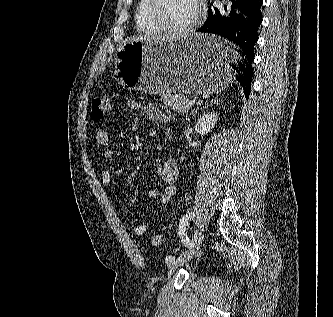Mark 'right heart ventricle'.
<instances>
[{
    "label": "right heart ventricle",
    "mask_w": 333,
    "mask_h": 317,
    "mask_svg": "<svg viewBox=\"0 0 333 317\" xmlns=\"http://www.w3.org/2000/svg\"><path fill=\"white\" fill-rule=\"evenodd\" d=\"M148 0H139L135 10V23L138 31L145 35H157L162 31L152 22L147 11Z\"/></svg>",
    "instance_id": "1"
}]
</instances>
